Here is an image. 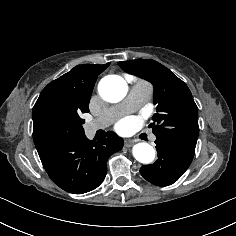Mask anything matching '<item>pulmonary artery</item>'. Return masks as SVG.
<instances>
[{
  "mask_svg": "<svg viewBox=\"0 0 236 236\" xmlns=\"http://www.w3.org/2000/svg\"><path fill=\"white\" fill-rule=\"evenodd\" d=\"M151 92L152 89L149 85L135 84L122 103L111 107L101 117L87 122L86 133L93 135L98 130L107 128L117 117L143 106L147 102Z\"/></svg>",
  "mask_w": 236,
  "mask_h": 236,
  "instance_id": "1",
  "label": "pulmonary artery"
}]
</instances>
